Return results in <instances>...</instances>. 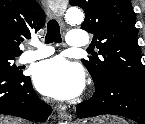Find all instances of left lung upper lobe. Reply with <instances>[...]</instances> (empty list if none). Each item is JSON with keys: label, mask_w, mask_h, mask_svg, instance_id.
Here are the masks:
<instances>
[{"label": "left lung upper lobe", "mask_w": 145, "mask_h": 124, "mask_svg": "<svg viewBox=\"0 0 145 124\" xmlns=\"http://www.w3.org/2000/svg\"><path fill=\"white\" fill-rule=\"evenodd\" d=\"M70 4L85 11L81 28L94 34L92 43L102 56L94 55L82 60L95 88H101L118 76L144 81L131 1L70 0Z\"/></svg>", "instance_id": "1"}]
</instances>
